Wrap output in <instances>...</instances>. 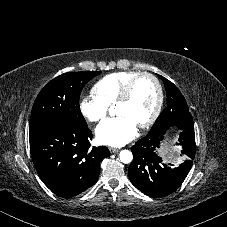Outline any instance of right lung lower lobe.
I'll list each match as a JSON object with an SVG mask.
<instances>
[{
    "label": "right lung lower lobe",
    "mask_w": 227,
    "mask_h": 227,
    "mask_svg": "<svg viewBox=\"0 0 227 227\" xmlns=\"http://www.w3.org/2000/svg\"><path fill=\"white\" fill-rule=\"evenodd\" d=\"M34 166L44 184L56 195L71 198L98 180L100 162L110 155L105 147L90 149L88 127L54 123L29 135Z\"/></svg>",
    "instance_id": "1"
}]
</instances>
